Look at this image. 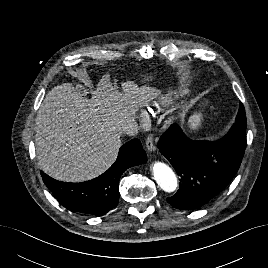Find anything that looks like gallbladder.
Returning <instances> with one entry per match:
<instances>
[{"mask_svg":"<svg viewBox=\"0 0 268 268\" xmlns=\"http://www.w3.org/2000/svg\"><path fill=\"white\" fill-rule=\"evenodd\" d=\"M78 92H79L80 94H83V93H84V89H83L82 87H79V88H78Z\"/></svg>","mask_w":268,"mask_h":268,"instance_id":"1","label":"gallbladder"}]
</instances>
